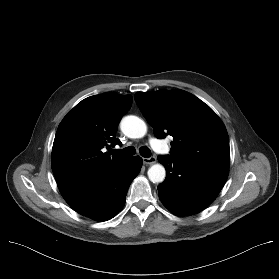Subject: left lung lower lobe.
<instances>
[{
    "instance_id": "obj_1",
    "label": "left lung lower lobe",
    "mask_w": 279,
    "mask_h": 279,
    "mask_svg": "<svg viewBox=\"0 0 279 279\" xmlns=\"http://www.w3.org/2000/svg\"><path fill=\"white\" fill-rule=\"evenodd\" d=\"M166 178L158 185L162 203L174 214L187 216L211 204L223 188L229 168L188 163L159 156Z\"/></svg>"
}]
</instances>
